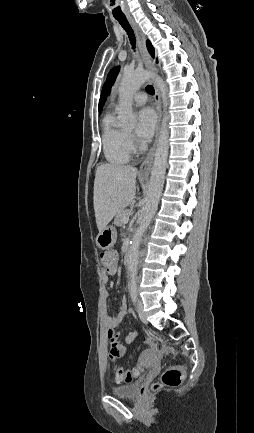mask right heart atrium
Returning <instances> with one entry per match:
<instances>
[{"label":"right heart atrium","mask_w":254,"mask_h":433,"mask_svg":"<svg viewBox=\"0 0 254 433\" xmlns=\"http://www.w3.org/2000/svg\"><path fill=\"white\" fill-rule=\"evenodd\" d=\"M127 139L131 149H137L139 147V144L132 133H127Z\"/></svg>","instance_id":"d8ad5b80"}]
</instances>
